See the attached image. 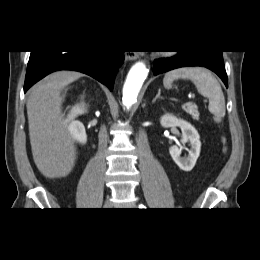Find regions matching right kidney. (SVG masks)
Masks as SVG:
<instances>
[{
	"label": "right kidney",
	"instance_id": "obj_1",
	"mask_svg": "<svg viewBox=\"0 0 260 260\" xmlns=\"http://www.w3.org/2000/svg\"><path fill=\"white\" fill-rule=\"evenodd\" d=\"M86 112L87 107L84 103L76 104L70 110L68 117L64 123L67 127L69 135L81 144H85L87 142V135L84 125L80 121L75 120V118L78 115L84 114Z\"/></svg>",
	"mask_w": 260,
	"mask_h": 260
}]
</instances>
